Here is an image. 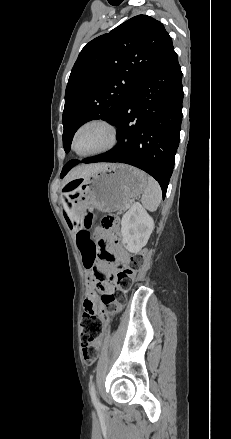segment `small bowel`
<instances>
[{
  "instance_id": "1",
  "label": "small bowel",
  "mask_w": 231,
  "mask_h": 439,
  "mask_svg": "<svg viewBox=\"0 0 231 439\" xmlns=\"http://www.w3.org/2000/svg\"><path fill=\"white\" fill-rule=\"evenodd\" d=\"M106 233L107 236L110 234L103 230L102 228L98 230V233ZM74 233L76 237V243L77 247L82 255V259L86 253L87 250H93L95 248L98 249V253L101 257V262L99 263V266L96 267L100 272L105 273L110 277V279L107 282H99L95 275L92 273L91 270H89V274L86 278V286L88 294L86 296V299L84 301V310L92 309L94 311L100 312L102 303L99 300L97 291H104L110 289L113 278L112 275L115 272V267L113 264H111L108 259V257L116 258L119 262H122L125 259V252L123 249L119 247H114L109 243H105L103 240H100L98 244H96L89 233V230L85 227H74ZM97 348H100L102 345V340L99 339L94 344Z\"/></svg>"
}]
</instances>
